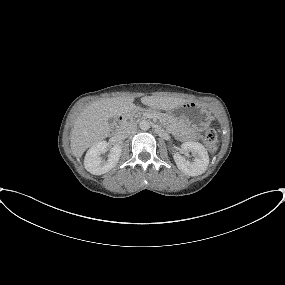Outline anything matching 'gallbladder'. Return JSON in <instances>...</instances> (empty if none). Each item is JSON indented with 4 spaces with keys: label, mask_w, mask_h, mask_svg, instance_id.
Wrapping results in <instances>:
<instances>
[{
    "label": "gallbladder",
    "mask_w": 285,
    "mask_h": 285,
    "mask_svg": "<svg viewBox=\"0 0 285 285\" xmlns=\"http://www.w3.org/2000/svg\"><path fill=\"white\" fill-rule=\"evenodd\" d=\"M114 122V119L113 118H110L109 120H108V123L109 124H112Z\"/></svg>",
    "instance_id": "bac80fb5"
}]
</instances>
